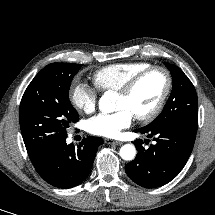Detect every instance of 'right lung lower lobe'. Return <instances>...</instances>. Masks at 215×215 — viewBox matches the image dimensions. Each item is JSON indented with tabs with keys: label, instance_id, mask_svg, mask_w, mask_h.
I'll list each match as a JSON object with an SVG mask.
<instances>
[{
	"label": "right lung lower lobe",
	"instance_id": "right-lung-lower-lobe-1",
	"mask_svg": "<svg viewBox=\"0 0 215 215\" xmlns=\"http://www.w3.org/2000/svg\"><path fill=\"white\" fill-rule=\"evenodd\" d=\"M101 144V138L88 136L75 147L68 145L64 137L30 159L46 182L58 188H71L87 178Z\"/></svg>",
	"mask_w": 215,
	"mask_h": 215
}]
</instances>
